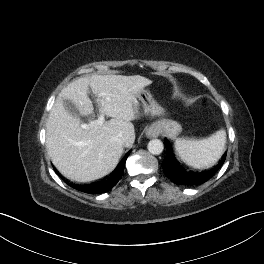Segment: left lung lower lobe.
Segmentation results:
<instances>
[{
    "label": "left lung lower lobe",
    "mask_w": 264,
    "mask_h": 264,
    "mask_svg": "<svg viewBox=\"0 0 264 264\" xmlns=\"http://www.w3.org/2000/svg\"><path fill=\"white\" fill-rule=\"evenodd\" d=\"M167 150V155L162 162V167L165 175L175 184L193 186L199 185L208 181L223 165L226 159L225 153L219 163L208 171L193 172L188 171L186 168L181 166L175 159L171 145L168 140L164 141Z\"/></svg>",
    "instance_id": "0a47b994"
}]
</instances>
